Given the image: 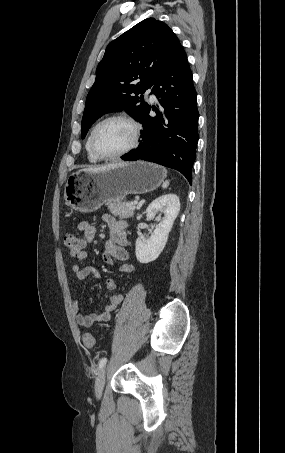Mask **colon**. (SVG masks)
Masks as SVG:
<instances>
[{
	"label": "colon",
	"instance_id": "5ec220e1",
	"mask_svg": "<svg viewBox=\"0 0 285 453\" xmlns=\"http://www.w3.org/2000/svg\"><path fill=\"white\" fill-rule=\"evenodd\" d=\"M64 245L68 255L77 258L85 247V240L77 233H68L64 236ZM83 345L86 349L92 350L95 347V338L91 333H84L82 337Z\"/></svg>",
	"mask_w": 285,
	"mask_h": 453
}]
</instances>
